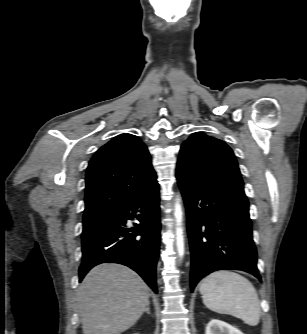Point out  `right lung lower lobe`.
<instances>
[{"mask_svg": "<svg viewBox=\"0 0 307 334\" xmlns=\"http://www.w3.org/2000/svg\"><path fill=\"white\" fill-rule=\"evenodd\" d=\"M139 212V215H134ZM137 217L135 230L126 228L129 219ZM141 236L136 239V236ZM160 246L159 185H152L110 218L82 238L81 282L88 271L103 262L126 265L136 271L157 293L156 266Z\"/></svg>", "mask_w": 307, "mask_h": 334, "instance_id": "obj_1", "label": "right lung lower lobe"}]
</instances>
